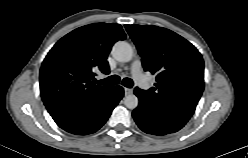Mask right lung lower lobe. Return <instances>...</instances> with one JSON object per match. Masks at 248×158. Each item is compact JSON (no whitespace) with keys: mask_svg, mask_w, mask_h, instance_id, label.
Listing matches in <instances>:
<instances>
[{"mask_svg":"<svg viewBox=\"0 0 248 158\" xmlns=\"http://www.w3.org/2000/svg\"><path fill=\"white\" fill-rule=\"evenodd\" d=\"M123 95L124 90L121 86H112L85 107L52 118L59 127L69 133H94L107 121Z\"/></svg>","mask_w":248,"mask_h":158,"instance_id":"1","label":"right lung lower lobe"}]
</instances>
